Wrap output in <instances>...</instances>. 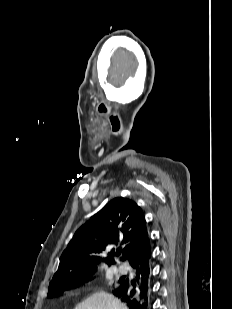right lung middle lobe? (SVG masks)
Segmentation results:
<instances>
[{
  "instance_id": "obj_1",
  "label": "right lung middle lobe",
  "mask_w": 232,
  "mask_h": 309,
  "mask_svg": "<svg viewBox=\"0 0 232 309\" xmlns=\"http://www.w3.org/2000/svg\"><path fill=\"white\" fill-rule=\"evenodd\" d=\"M93 274L94 273H91V274L85 275L83 277H80L78 279H74V280L61 281V282L54 283L52 285V287H49L48 296L54 297V296H57V295H61L65 290L71 289L72 287H74L76 285L84 284V283L92 280Z\"/></svg>"
}]
</instances>
